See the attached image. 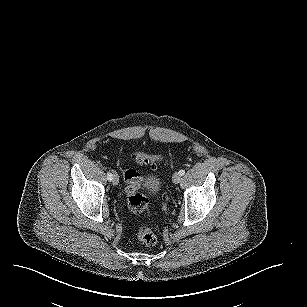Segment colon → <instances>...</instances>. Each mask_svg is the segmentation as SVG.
<instances>
[{
	"label": "colon",
	"instance_id": "5ec220e1",
	"mask_svg": "<svg viewBox=\"0 0 307 307\" xmlns=\"http://www.w3.org/2000/svg\"><path fill=\"white\" fill-rule=\"evenodd\" d=\"M135 159L139 164L152 165L155 164L159 158L144 152H136ZM124 180L126 182V194L128 207L131 212L149 216L151 214V206L148 198L139 192L141 186V176L134 169H128L124 172ZM137 238L146 246H153L157 242L156 234L152 227L147 224H142L137 228Z\"/></svg>",
	"mask_w": 307,
	"mask_h": 307
}]
</instances>
